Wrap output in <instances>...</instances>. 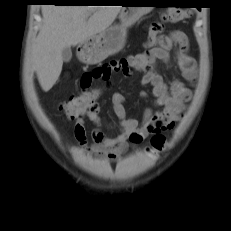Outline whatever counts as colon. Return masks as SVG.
<instances>
[{
  "label": "colon",
  "instance_id": "obj_1",
  "mask_svg": "<svg viewBox=\"0 0 231 231\" xmlns=\"http://www.w3.org/2000/svg\"><path fill=\"white\" fill-rule=\"evenodd\" d=\"M187 17H189V12L180 8L169 9L163 16L164 20L173 23L180 22ZM96 97L97 91H82L63 102L60 109L67 118L77 119L95 105ZM164 143V137L161 134H155L151 139L150 150L159 151L163 148Z\"/></svg>",
  "mask_w": 231,
  "mask_h": 231
}]
</instances>
